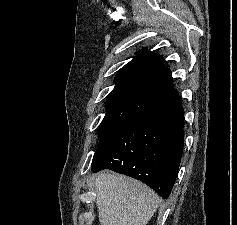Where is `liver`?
Here are the masks:
<instances>
[{
	"instance_id": "1",
	"label": "liver",
	"mask_w": 237,
	"mask_h": 225,
	"mask_svg": "<svg viewBox=\"0 0 237 225\" xmlns=\"http://www.w3.org/2000/svg\"><path fill=\"white\" fill-rule=\"evenodd\" d=\"M95 190L100 225H147L160 203L154 190L123 175L99 174Z\"/></svg>"
}]
</instances>
